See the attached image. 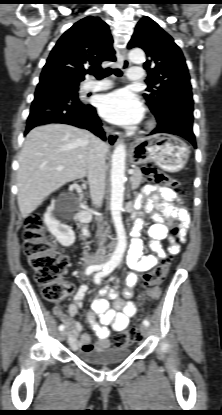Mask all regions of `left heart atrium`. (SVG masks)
Returning a JSON list of instances; mask_svg holds the SVG:
<instances>
[{
	"label": "left heart atrium",
	"mask_w": 222,
	"mask_h": 415,
	"mask_svg": "<svg viewBox=\"0 0 222 415\" xmlns=\"http://www.w3.org/2000/svg\"><path fill=\"white\" fill-rule=\"evenodd\" d=\"M101 116L121 126L137 124L143 116L139 98L128 89H120L104 95L99 103Z\"/></svg>",
	"instance_id": "39dd6f15"
}]
</instances>
